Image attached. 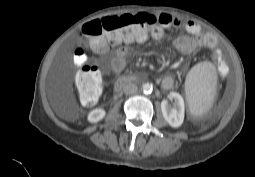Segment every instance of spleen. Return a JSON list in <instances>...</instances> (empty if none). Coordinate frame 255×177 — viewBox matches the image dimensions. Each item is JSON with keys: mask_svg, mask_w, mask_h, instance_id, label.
<instances>
[{"mask_svg": "<svg viewBox=\"0 0 255 177\" xmlns=\"http://www.w3.org/2000/svg\"><path fill=\"white\" fill-rule=\"evenodd\" d=\"M215 90V66L210 62L196 64L185 81L186 98L194 116H201L211 108Z\"/></svg>", "mask_w": 255, "mask_h": 177, "instance_id": "3e777b00", "label": "spleen"}]
</instances>
